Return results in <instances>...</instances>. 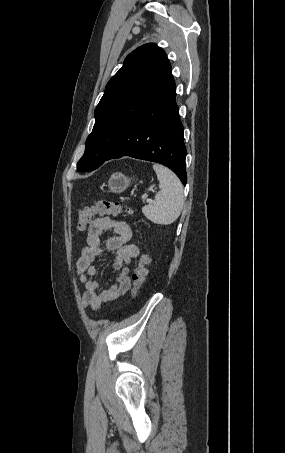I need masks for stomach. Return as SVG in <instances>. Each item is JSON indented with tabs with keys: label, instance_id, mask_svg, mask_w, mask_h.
I'll use <instances>...</instances> for the list:
<instances>
[{
	"label": "stomach",
	"instance_id": "0dacf381",
	"mask_svg": "<svg viewBox=\"0 0 285 453\" xmlns=\"http://www.w3.org/2000/svg\"><path fill=\"white\" fill-rule=\"evenodd\" d=\"M131 180L121 172H116L110 176L107 186L110 192L122 193L130 186Z\"/></svg>",
	"mask_w": 285,
	"mask_h": 453
}]
</instances>
